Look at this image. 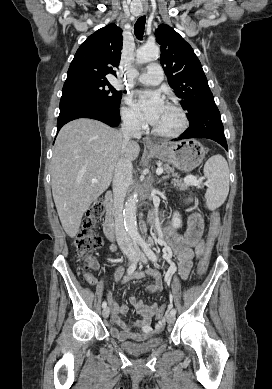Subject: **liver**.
<instances>
[{"mask_svg":"<svg viewBox=\"0 0 272 389\" xmlns=\"http://www.w3.org/2000/svg\"><path fill=\"white\" fill-rule=\"evenodd\" d=\"M122 132L93 119H77L60 130L51 160L53 199L61 224L70 237L82 217L114 177L122 151ZM140 152L130 141L124 155L131 161ZM92 179L98 180L92 183Z\"/></svg>","mask_w":272,"mask_h":389,"instance_id":"6515ba94","label":"liver"}]
</instances>
